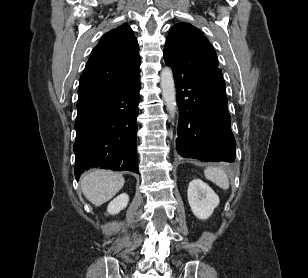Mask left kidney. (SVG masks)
<instances>
[{
	"instance_id": "obj_1",
	"label": "left kidney",
	"mask_w": 308,
	"mask_h": 278,
	"mask_svg": "<svg viewBox=\"0 0 308 278\" xmlns=\"http://www.w3.org/2000/svg\"><path fill=\"white\" fill-rule=\"evenodd\" d=\"M187 195L193 214L201 220L208 219L219 205V197L200 179L189 183Z\"/></svg>"
}]
</instances>
